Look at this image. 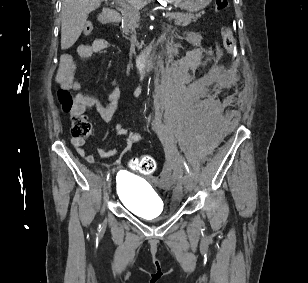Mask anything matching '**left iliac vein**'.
<instances>
[{
    "label": "left iliac vein",
    "mask_w": 308,
    "mask_h": 283,
    "mask_svg": "<svg viewBox=\"0 0 308 283\" xmlns=\"http://www.w3.org/2000/svg\"><path fill=\"white\" fill-rule=\"evenodd\" d=\"M183 185L184 187L188 190V191H192L194 188V182H193V178L189 175L186 174L183 179H182Z\"/></svg>",
    "instance_id": "obj_1"
}]
</instances>
